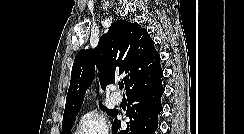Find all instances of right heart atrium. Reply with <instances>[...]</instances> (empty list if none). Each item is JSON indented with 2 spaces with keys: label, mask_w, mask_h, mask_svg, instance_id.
<instances>
[{
  "label": "right heart atrium",
  "mask_w": 244,
  "mask_h": 134,
  "mask_svg": "<svg viewBox=\"0 0 244 134\" xmlns=\"http://www.w3.org/2000/svg\"><path fill=\"white\" fill-rule=\"evenodd\" d=\"M75 134H110V127L105 115L93 110L81 116Z\"/></svg>",
  "instance_id": "1"
}]
</instances>
